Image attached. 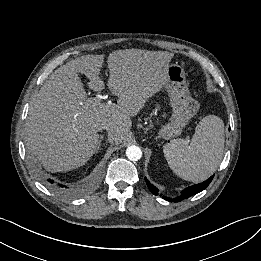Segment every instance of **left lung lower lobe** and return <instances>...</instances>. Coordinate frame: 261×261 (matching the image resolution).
<instances>
[{"instance_id":"0a47b994","label":"left lung lower lobe","mask_w":261,"mask_h":261,"mask_svg":"<svg viewBox=\"0 0 261 261\" xmlns=\"http://www.w3.org/2000/svg\"><path fill=\"white\" fill-rule=\"evenodd\" d=\"M214 175L211 176L210 178H208L206 181L199 183V184H195L192 185L190 187L185 188L182 192L181 195L178 196L177 198H166L164 197L165 200L168 201H173V202H179L181 200L187 199L199 192H201L202 190H204L205 188H207V186L210 184V182L212 181ZM146 184L149 188V190L154 194V195H158V188L155 187L154 185L150 184V182L145 178Z\"/></svg>"}]
</instances>
